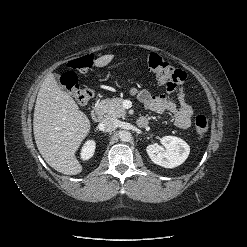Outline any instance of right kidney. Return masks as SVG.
I'll return each instance as SVG.
<instances>
[{
	"label": "right kidney",
	"mask_w": 247,
	"mask_h": 247,
	"mask_svg": "<svg viewBox=\"0 0 247 247\" xmlns=\"http://www.w3.org/2000/svg\"><path fill=\"white\" fill-rule=\"evenodd\" d=\"M95 152V142L93 140H88L81 150V158L83 160L90 159Z\"/></svg>",
	"instance_id": "ca27d5eb"
}]
</instances>
